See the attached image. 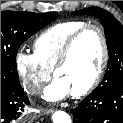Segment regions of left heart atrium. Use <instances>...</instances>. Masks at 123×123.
<instances>
[{
  "instance_id": "39dd6f15",
  "label": "left heart atrium",
  "mask_w": 123,
  "mask_h": 123,
  "mask_svg": "<svg viewBox=\"0 0 123 123\" xmlns=\"http://www.w3.org/2000/svg\"><path fill=\"white\" fill-rule=\"evenodd\" d=\"M69 93L68 87L57 78L46 88L45 97L50 101H56L65 98Z\"/></svg>"
}]
</instances>
